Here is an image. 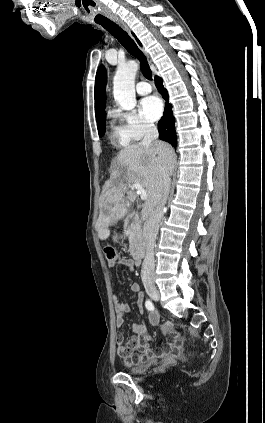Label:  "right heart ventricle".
Returning a JSON list of instances; mask_svg holds the SVG:
<instances>
[{
  "label": "right heart ventricle",
  "mask_w": 265,
  "mask_h": 423,
  "mask_svg": "<svg viewBox=\"0 0 265 423\" xmlns=\"http://www.w3.org/2000/svg\"><path fill=\"white\" fill-rule=\"evenodd\" d=\"M111 140L113 143H127L128 142V139L125 136L120 126L112 127Z\"/></svg>",
  "instance_id": "e07e8e85"
}]
</instances>
